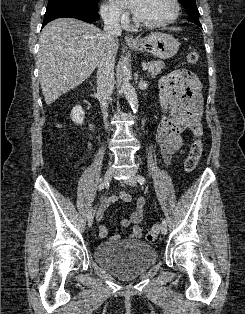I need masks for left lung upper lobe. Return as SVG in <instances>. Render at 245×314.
Here are the masks:
<instances>
[{
	"label": "left lung upper lobe",
	"mask_w": 245,
	"mask_h": 314,
	"mask_svg": "<svg viewBox=\"0 0 245 314\" xmlns=\"http://www.w3.org/2000/svg\"><path fill=\"white\" fill-rule=\"evenodd\" d=\"M188 14V21L201 26L196 0H178Z\"/></svg>",
	"instance_id": "left-lung-upper-lobe-1"
}]
</instances>
